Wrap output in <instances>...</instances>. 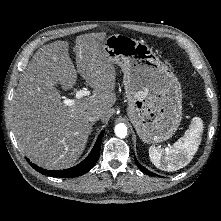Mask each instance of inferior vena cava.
<instances>
[{"mask_svg":"<svg viewBox=\"0 0 221 221\" xmlns=\"http://www.w3.org/2000/svg\"><path fill=\"white\" fill-rule=\"evenodd\" d=\"M101 118V113L97 110H93L87 113V120L90 122L98 121Z\"/></svg>","mask_w":221,"mask_h":221,"instance_id":"1","label":"inferior vena cava"}]
</instances>
